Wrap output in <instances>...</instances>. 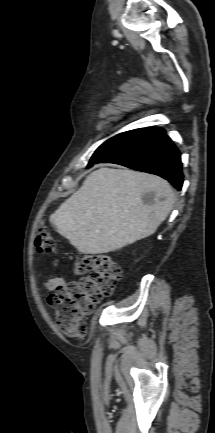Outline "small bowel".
Listing matches in <instances>:
<instances>
[{
	"mask_svg": "<svg viewBox=\"0 0 215 433\" xmlns=\"http://www.w3.org/2000/svg\"><path fill=\"white\" fill-rule=\"evenodd\" d=\"M65 284H66L65 279L62 276H57V275L50 276L45 282V286L49 291H54L58 287L64 286Z\"/></svg>",
	"mask_w": 215,
	"mask_h": 433,
	"instance_id": "obj_1",
	"label": "small bowel"
}]
</instances>
